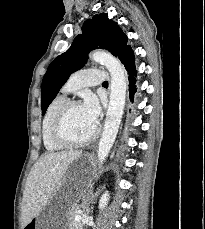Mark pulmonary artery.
Instances as JSON below:
<instances>
[{
	"label": "pulmonary artery",
	"instance_id": "pulmonary-artery-1",
	"mask_svg": "<svg viewBox=\"0 0 205 229\" xmlns=\"http://www.w3.org/2000/svg\"><path fill=\"white\" fill-rule=\"evenodd\" d=\"M108 79L101 69L86 68L75 72L63 86L62 92L68 93L87 85H100Z\"/></svg>",
	"mask_w": 205,
	"mask_h": 229
}]
</instances>
